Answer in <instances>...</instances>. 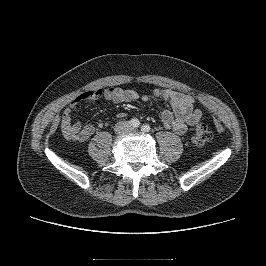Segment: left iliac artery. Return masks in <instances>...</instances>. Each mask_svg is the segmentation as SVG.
<instances>
[{"instance_id":"left-iliac-artery-1","label":"left iliac artery","mask_w":266,"mask_h":266,"mask_svg":"<svg viewBox=\"0 0 266 266\" xmlns=\"http://www.w3.org/2000/svg\"><path fill=\"white\" fill-rule=\"evenodd\" d=\"M150 129H151V127H150V125H148V124H145V125H143V126L141 127V130H142L143 132H149Z\"/></svg>"}]
</instances>
